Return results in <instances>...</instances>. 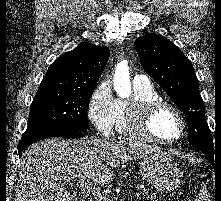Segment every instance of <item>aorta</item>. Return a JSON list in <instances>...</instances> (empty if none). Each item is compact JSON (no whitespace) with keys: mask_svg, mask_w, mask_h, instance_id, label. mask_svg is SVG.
Masks as SVG:
<instances>
[{"mask_svg":"<svg viewBox=\"0 0 221 201\" xmlns=\"http://www.w3.org/2000/svg\"><path fill=\"white\" fill-rule=\"evenodd\" d=\"M114 88L121 97H128L131 94L129 69L127 66H123L116 71Z\"/></svg>","mask_w":221,"mask_h":201,"instance_id":"aorta-1","label":"aorta"}]
</instances>
